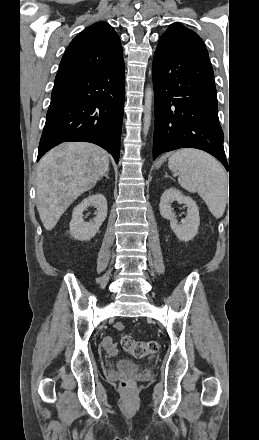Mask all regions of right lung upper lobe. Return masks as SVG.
Here are the masks:
<instances>
[{
  "label": "right lung upper lobe",
  "mask_w": 259,
  "mask_h": 440,
  "mask_svg": "<svg viewBox=\"0 0 259 440\" xmlns=\"http://www.w3.org/2000/svg\"><path fill=\"white\" fill-rule=\"evenodd\" d=\"M120 38L113 27L98 22L79 33L69 44L56 78L87 74L123 59Z\"/></svg>",
  "instance_id": "obj_1"
}]
</instances>
